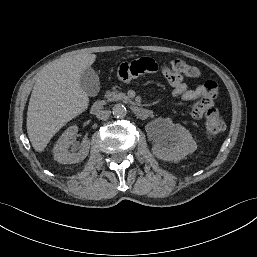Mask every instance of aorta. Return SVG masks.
<instances>
[{
	"mask_svg": "<svg viewBox=\"0 0 257 257\" xmlns=\"http://www.w3.org/2000/svg\"><path fill=\"white\" fill-rule=\"evenodd\" d=\"M112 113L117 118H123L127 114V109L123 104H115L112 108Z\"/></svg>",
	"mask_w": 257,
	"mask_h": 257,
	"instance_id": "aorta-1",
	"label": "aorta"
}]
</instances>
